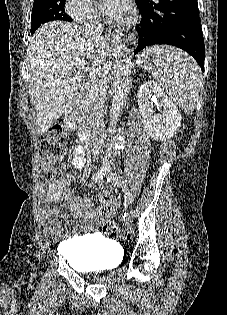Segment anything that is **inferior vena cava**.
I'll use <instances>...</instances> for the list:
<instances>
[{"instance_id": "1", "label": "inferior vena cava", "mask_w": 227, "mask_h": 315, "mask_svg": "<svg viewBox=\"0 0 227 315\" xmlns=\"http://www.w3.org/2000/svg\"><path fill=\"white\" fill-rule=\"evenodd\" d=\"M87 21L88 22L85 26V30L91 33L95 38L99 39L101 37L102 25L98 19L96 10L90 9L88 11ZM99 86L102 93L100 95V98H97L94 103V124L91 133V152L94 155L101 150L105 133V123L103 120V90L107 86L105 75H103L101 80L99 81ZM104 167H109V162L103 163V168Z\"/></svg>"}]
</instances>
